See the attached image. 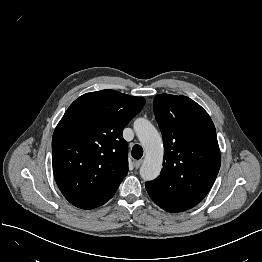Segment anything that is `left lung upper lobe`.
Segmentation results:
<instances>
[{"mask_svg":"<svg viewBox=\"0 0 262 262\" xmlns=\"http://www.w3.org/2000/svg\"><path fill=\"white\" fill-rule=\"evenodd\" d=\"M154 112L164 141L163 169L146 183L151 199L168 212L197 205L220 169L216 130L207 112L186 96L159 94Z\"/></svg>","mask_w":262,"mask_h":262,"instance_id":"left-lung-upper-lobe-1","label":"left lung upper lobe"}]
</instances>
